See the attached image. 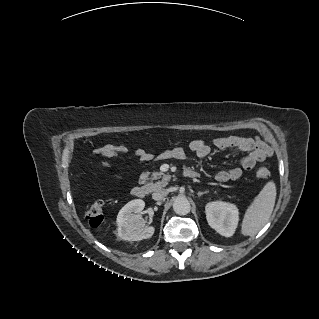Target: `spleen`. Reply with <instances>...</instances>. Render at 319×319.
Masks as SVG:
<instances>
[{
	"label": "spleen",
	"instance_id": "spleen-1",
	"mask_svg": "<svg viewBox=\"0 0 319 319\" xmlns=\"http://www.w3.org/2000/svg\"><path fill=\"white\" fill-rule=\"evenodd\" d=\"M276 194L275 183L267 182L245 212L241 225V233L244 236L256 235L269 221L275 206Z\"/></svg>",
	"mask_w": 319,
	"mask_h": 319
}]
</instances>
